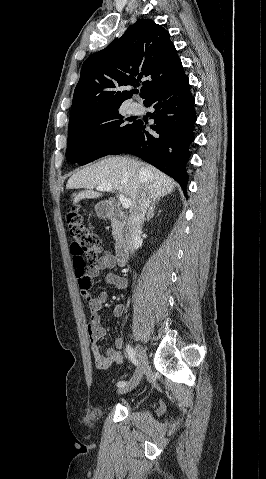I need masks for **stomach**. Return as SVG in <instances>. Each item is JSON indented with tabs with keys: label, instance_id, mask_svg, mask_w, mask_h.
<instances>
[{
	"label": "stomach",
	"instance_id": "0dacf381",
	"mask_svg": "<svg viewBox=\"0 0 266 479\" xmlns=\"http://www.w3.org/2000/svg\"><path fill=\"white\" fill-rule=\"evenodd\" d=\"M95 211L100 218H107L111 212V208L106 202H100L95 206Z\"/></svg>",
	"mask_w": 266,
	"mask_h": 479
}]
</instances>
